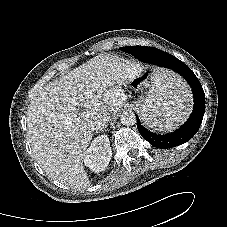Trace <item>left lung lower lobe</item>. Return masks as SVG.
I'll return each instance as SVG.
<instances>
[{
    "label": "left lung lower lobe",
    "mask_w": 227,
    "mask_h": 227,
    "mask_svg": "<svg viewBox=\"0 0 227 227\" xmlns=\"http://www.w3.org/2000/svg\"><path fill=\"white\" fill-rule=\"evenodd\" d=\"M128 54L138 60L170 68L183 76L192 88L194 108L188 121L169 135H157L145 129L137 118V128L142 137L157 148H172L189 141L198 131L205 112V94L193 71L176 57L153 47L132 46ZM137 117V116H136Z\"/></svg>",
    "instance_id": "0a47b994"
}]
</instances>
